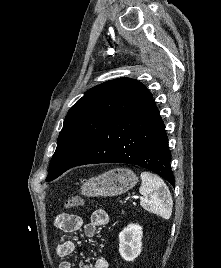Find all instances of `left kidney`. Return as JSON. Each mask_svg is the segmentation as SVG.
<instances>
[{"mask_svg": "<svg viewBox=\"0 0 221 268\" xmlns=\"http://www.w3.org/2000/svg\"><path fill=\"white\" fill-rule=\"evenodd\" d=\"M142 227L129 224L119 233V253L125 261H133L142 250Z\"/></svg>", "mask_w": 221, "mask_h": 268, "instance_id": "5707ae66", "label": "left kidney"}]
</instances>
